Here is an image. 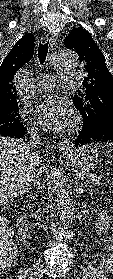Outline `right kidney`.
Returning a JSON list of instances; mask_svg holds the SVG:
<instances>
[{"label":"right kidney","instance_id":"1","mask_svg":"<svg viewBox=\"0 0 113 279\" xmlns=\"http://www.w3.org/2000/svg\"><path fill=\"white\" fill-rule=\"evenodd\" d=\"M17 227L18 233L22 236L23 239L27 238L28 233V226L27 224L23 223L22 219H17Z\"/></svg>","mask_w":113,"mask_h":279}]
</instances>
